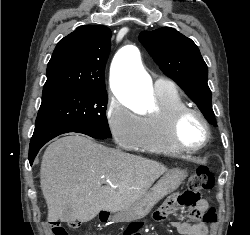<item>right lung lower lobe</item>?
I'll use <instances>...</instances> for the list:
<instances>
[{
  "mask_svg": "<svg viewBox=\"0 0 250 235\" xmlns=\"http://www.w3.org/2000/svg\"><path fill=\"white\" fill-rule=\"evenodd\" d=\"M68 132H77L83 133L88 136L97 139H105L106 137L98 134L96 132L79 128L70 124L64 123H51V124H42L39 126H35V130L33 136L30 141L29 147V162L32 165L34 158L36 157L40 148L46 144L51 139L55 138L58 135L68 133Z\"/></svg>",
  "mask_w": 250,
  "mask_h": 235,
  "instance_id": "98d812e1",
  "label": "right lung lower lobe"
}]
</instances>
